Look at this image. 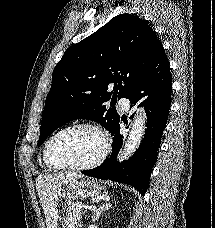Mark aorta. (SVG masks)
Here are the masks:
<instances>
[{
	"instance_id": "1",
	"label": "aorta",
	"mask_w": 215,
	"mask_h": 228,
	"mask_svg": "<svg viewBox=\"0 0 215 228\" xmlns=\"http://www.w3.org/2000/svg\"><path fill=\"white\" fill-rule=\"evenodd\" d=\"M146 120L147 118L144 110H141V112H137V114H135L128 138L122 150L119 152V156L117 158L118 162H124V160H128V158L132 156L133 152L137 150L138 146H140L142 138L145 134Z\"/></svg>"
}]
</instances>
